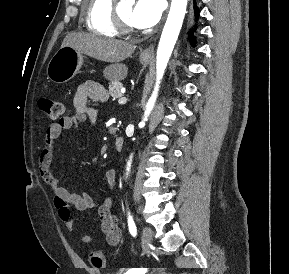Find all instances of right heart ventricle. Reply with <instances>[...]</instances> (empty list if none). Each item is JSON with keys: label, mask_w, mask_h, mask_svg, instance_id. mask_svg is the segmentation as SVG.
<instances>
[{"label": "right heart ventricle", "mask_w": 289, "mask_h": 274, "mask_svg": "<svg viewBox=\"0 0 289 274\" xmlns=\"http://www.w3.org/2000/svg\"><path fill=\"white\" fill-rule=\"evenodd\" d=\"M113 0H85L84 19L86 28L98 35L116 37L119 31L116 29L113 19Z\"/></svg>", "instance_id": "right-heart-ventricle-1"}]
</instances>
